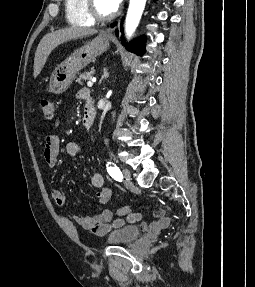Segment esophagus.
<instances>
[{
    "mask_svg": "<svg viewBox=\"0 0 255 287\" xmlns=\"http://www.w3.org/2000/svg\"><path fill=\"white\" fill-rule=\"evenodd\" d=\"M112 32H113V30L110 29V28H105V29H104L105 35H110V34H112Z\"/></svg>",
    "mask_w": 255,
    "mask_h": 287,
    "instance_id": "esophagus-1",
    "label": "esophagus"
}]
</instances>
